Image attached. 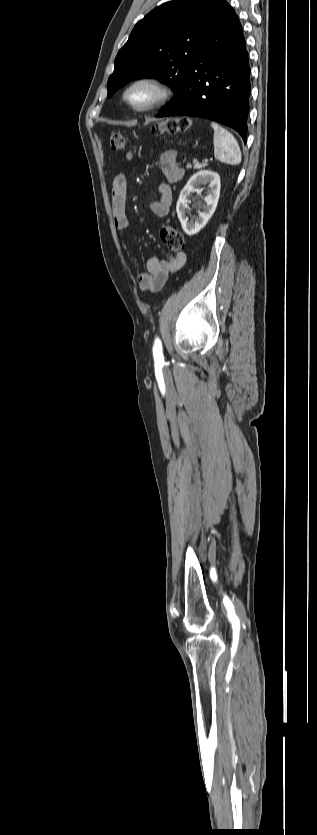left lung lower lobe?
Returning a JSON list of instances; mask_svg holds the SVG:
<instances>
[{"instance_id": "left-lung-lower-lobe-1", "label": "left lung lower lobe", "mask_w": 317, "mask_h": 835, "mask_svg": "<svg viewBox=\"0 0 317 835\" xmlns=\"http://www.w3.org/2000/svg\"><path fill=\"white\" fill-rule=\"evenodd\" d=\"M250 67L242 26L231 6L191 65L180 96L156 116L207 118L236 130L247 141Z\"/></svg>"}]
</instances>
